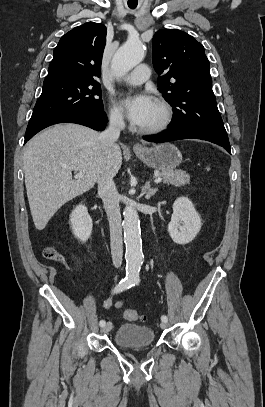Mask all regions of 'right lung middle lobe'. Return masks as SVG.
Returning a JSON list of instances; mask_svg holds the SVG:
<instances>
[{
  "instance_id": "1",
  "label": "right lung middle lobe",
  "mask_w": 265,
  "mask_h": 407,
  "mask_svg": "<svg viewBox=\"0 0 265 407\" xmlns=\"http://www.w3.org/2000/svg\"><path fill=\"white\" fill-rule=\"evenodd\" d=\"M87 109L103 110L101 88L96 80L45 78L42 94L27 128L66 113Z\"/></svg>"
}]
</instances>
